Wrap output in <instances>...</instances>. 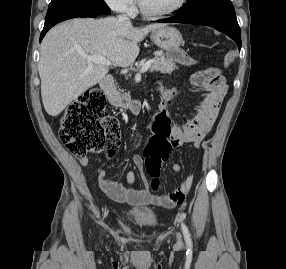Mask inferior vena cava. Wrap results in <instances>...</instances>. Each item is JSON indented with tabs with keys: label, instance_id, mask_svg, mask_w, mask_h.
Segmentation results:
<instances>
[{
	"label": "inferior vena cava",
	"instance_id": "602c4592",
	"mask_svg": "<svg viewBox=\"0 0 286 269\" xmlns=\"http://www.w3.org/2000/svg\"><path fill=\"white\" fill-rule=\"evenodd\" d=\"M118 19H119L120 21L130 22V21H129V18L126 17V16H118Z\"/></svg>",
	"mask_w": 286,
	"mask_h": 269
}]
</instances>
